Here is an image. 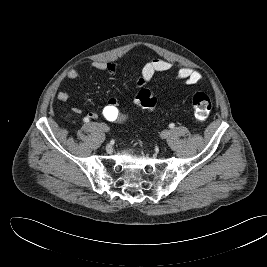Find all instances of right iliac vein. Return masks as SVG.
I'll use <instances>...</instances> for the list:
<instances>
[{"instance_id":"1","label":"right iliac vein","mask_w":267,"mask_h":267,"mask_svg":"<svg viewBox=\"0 0 267 267\" xmlns=\"http://www.w3.org/2000/svg\"><path fill=\"white\" fill-rule=\"evenodd\" d=\"M100 127L105 132H108L109 131V127L106 124H104V123L100 124Z\"/></svg>"}]
</instances>
